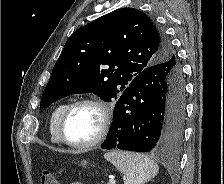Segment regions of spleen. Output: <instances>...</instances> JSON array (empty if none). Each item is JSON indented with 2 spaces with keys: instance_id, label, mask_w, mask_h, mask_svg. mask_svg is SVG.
Wrapping results in <instances>:
<instances>
[{
  "instance_id": "3e777b00",
  "label": "spleen",
  "mask_w": 224,
  "mask_h": 184,
  "mask_svg": "<svg viewBox=\"0 0 224 184\" xmlns=\"http://www.w3.org/2000/svg\"><path fill=\"white\" fill-rule=\"evenodd\" d=\"M104 158L125 175L124 184H145L159 171L153 159L139 153L112 151Z\"/></svg>"
}]
</instances>
